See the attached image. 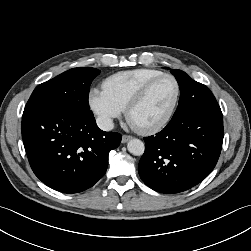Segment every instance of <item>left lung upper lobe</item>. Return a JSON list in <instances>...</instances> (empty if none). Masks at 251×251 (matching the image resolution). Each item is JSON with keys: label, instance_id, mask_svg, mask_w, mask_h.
Instances as JSON below:
<instances>
[{"label": "left lung upper lobe", "instance_id": "obj_1", "mask_svg": "<svg viewBox=\"0 0 251 251\" xmlns=\"http://www.w3.org/2000/svg\"><path fill=\"white\" fill-rule=\"evenodd\" d=\"M171 73L176 77L179 87H180V93L184 90H191L193 87L201 84L193 79H191L185 72L181 70H171Z\"/></svg>", "mask_w": 251, "mask_h": 251}]
</instances>
